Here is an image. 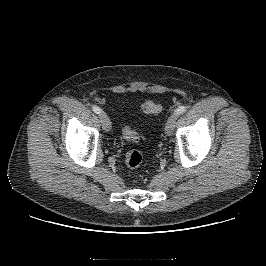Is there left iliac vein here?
<instances>
[{"label": "left iliac vein", "instance_id": "obj_1", "mask_svg": "<svg viewBox=\"0 0 266 266\" xmlns=\"http://www.w3.org/2000/svg\"><path fill=\"white\" fill-rule=\"evenodd\" d=\"M178 117L177 114H173L166 122L165 131L167 135H171L174 128V123L176 118Z\"/></svg>", "mask_w": 266, "mask_h": 266}]
</instances>
